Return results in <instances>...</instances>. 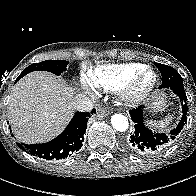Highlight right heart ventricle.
<instances>
[{
	"mask_svg": "<svg viewBox=\"0 0 196 196\" xmlns=\"http://www.w3.org/2000/svg\"><path fill=\"white\" fill-rule=\"evenodd\" d=\"M144 66L141 63L99 65L88 71V82L101 90L116 91Z\"/></svg>",
	"mask_w": 196,
	"mask_h": 196,
	"instance_id": "obj_1",
	"label": "right heart ventricle"
}]
</instances>
